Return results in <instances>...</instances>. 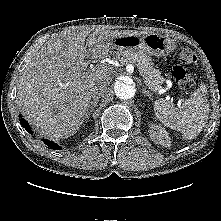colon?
I'll return each mask as SVG.
<instances>
[{
    "instance_id": "5ec220e1",
    "label": "colon",
    "mask_w": 221,
    "mask_h": 221,
    "mask_svg": "<svg viewBox=\"0 0 221 221\" xmlns=\"http://www.w3.org/2000/svg\"><path fill=\"white\" fill-rule=\"evenodd\" d=\"M179 60L183 65H177L173 68L172 74L174 79L182 85L191 83L193 81V74L186 66L196 63L197 57L194 51L190 47L184 46L180 51Z\"/></svg>"
}]
</instances>
